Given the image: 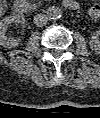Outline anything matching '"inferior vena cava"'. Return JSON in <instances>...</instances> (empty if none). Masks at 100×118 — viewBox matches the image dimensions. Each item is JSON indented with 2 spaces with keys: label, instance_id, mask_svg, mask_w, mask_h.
Returning <instances> with one entry per match:
<instances>
[{
  "label": "inferior vena cava",
  "instance_id": "inferior-vena-cava-1",
  "mask_svg": "<svg viewBox=\"0 0 100 118\" xmlns=\"http://www.w3.org/2000/svg\"><path fill=\"white\" fill-rule=\"evenodd\" d=\"M34 23L38 27L45 26L48 22V17L45 14H37L34 16Z\"/></svg>",
  "mask_w": 100,
  "mask_h": 118
}]
</instances>
